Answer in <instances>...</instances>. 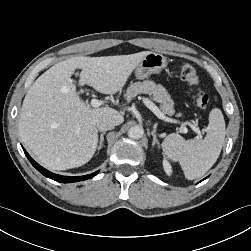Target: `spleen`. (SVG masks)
<instances>
[{"label": "spleen", "mask_w": 251, "mask_h": 251, "mask_svg": "<svg viewBox=\"0 0 251 251\" xmlns=\"http://www.w3.org/2000/svg\"><path fill=\"white\" fill-rule=\"evenodd\" d=\"M225 121L222 111L214 108L209 113L206 137L185 140L181 135L169 134L162 142L164 154L174 162H179L188 180L203 176L217 161L224 140Z\"/></svg>", "instance_id": "obj_1"}]
</instances>
